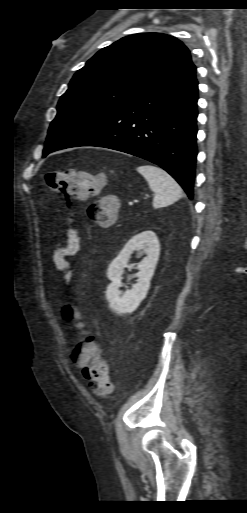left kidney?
<instances>
[{
  "mask_svg": "<svg viewBox=\"0 0 247 513\" xmlns=\"http://www.w3.org/2000/svg\"><path fill=\"white\" fill-rule=\"evenodd\" d=\"M135 250L144 251L147 256L137 265V283L131 290L122 293L119 288L128 261ZM160 255V243L152 231H144L132 237L122 248L118 256L108 268V278L111 283L107 287L106 298L109 308L117 315H124L135 311L150 288V280Z\"/></svg>",
  "mask_w": 247,
  "mask_h": 513,
  "instance_id": "1",
  "label": "left kidney"
}]
</instances>
